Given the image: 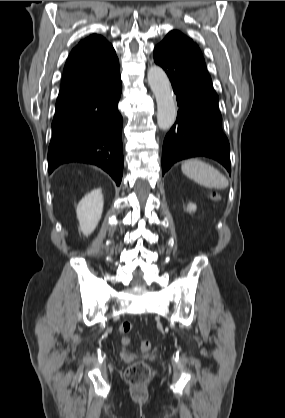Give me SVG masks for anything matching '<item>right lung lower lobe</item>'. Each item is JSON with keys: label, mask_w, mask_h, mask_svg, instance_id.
Masks as SVG:
<instances>
[{"label": "right lung lower lobe", "mask_w": 285, "mask_h": 418, "mask_svg": "<svg viewBox=\"0 0 285 418\" xmlns=\"http://www.w3.org/2000/svg\"><path fill=\"white\" fill-rule=\"evenodd\" d=\"M122 91L120 73L95 89L56 106L48 171L82 162L97 165L120 185L123 173L122 125L117 109Z\"/></svg>", "instance_id": "obj_1"}]
</instances>
